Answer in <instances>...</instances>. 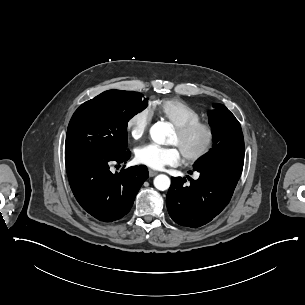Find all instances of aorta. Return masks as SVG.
<instances>
[{
  "instance_id": "aorta-1",
  "label": "aorta",
  "mask_w": 305,
  "mask_h": 305,
  "mask_svg": "<svg viewBox=\"0 0 305 305\" xmlns=\"http://www.w3.org/2000/svg\"><path fill=\"white\" fill-rule=\"evenodd\" d=\"M170 133L171 127L165 122H157L150 128V136L158 144H164ZM153 183L158 190L165 191L170 187L171 181L167 175L160 174L154 178Z\"/></svg>"
}]
</instances>
